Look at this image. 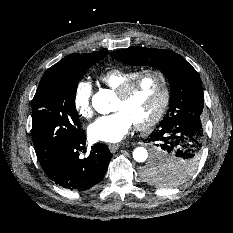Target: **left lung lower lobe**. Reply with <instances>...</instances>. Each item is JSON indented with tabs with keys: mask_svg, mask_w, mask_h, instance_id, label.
Returning <instances> with one entry per match:
<instances>
[{
	"mask_svg": "<svg viewBox=\"0 0 233 233\" xmlns=\"http://www.w3.org/2000/svg\"><path fill=\"white\" fill-rule=\"evenodd\" d=\"M156 147L150 163L166 164L171 158L200 157L203 147L202 124L195 116H179L160 123L149 135Z\"/></svg>",
	"mask_w": 233,
	"mask_h": 233,
	"instance_id": "left-lung-lower-lobe-1",
	"label": "left lung lower lobe"
}]
</instances>
